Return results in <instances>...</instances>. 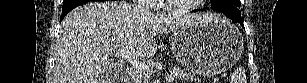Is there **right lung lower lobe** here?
I'll list each match as a JSON object with an SVG mask.
<instances>
[{"label":"right lung lower lobe","mask_w":307,"mask_h":83,"mask_svg":"<svg viewBox=\"0 0 307 83\" xmlns=\"http://www.w3.org/2000/svg\"><path fill=\"white\" fill-rule=\"evenodd\" d=\"M86 2H89V0H64L63 7H62V16L60 20H62L63 17L67 13H69L72 9Z\"/></svg>","instance_id":"obj_1"}]
</instances>
